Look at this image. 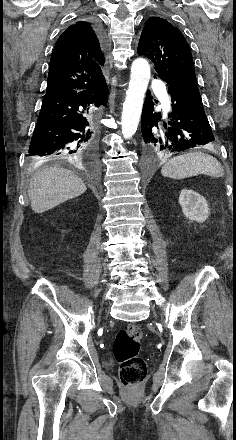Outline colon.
Returning a JSON list of instances; mask_svg holds the SVG:
<instances>
[{"instance_id":"obj_1","label":"colon","mask_w":236,"mask_h":440,"mask_svg":"<svg viewBox=\"0 0 236 440\" xmlns=\"http://www.w3.org/2000/svg\"><path fill=\"white\" fill-rule=\"evenodd\" d=\"M142 331L130 325L121 329L114 341V356L120 364L119 377L125 387L140 385L147 376L145 360L139 355Z\"/></svg>"}]
</instances>
